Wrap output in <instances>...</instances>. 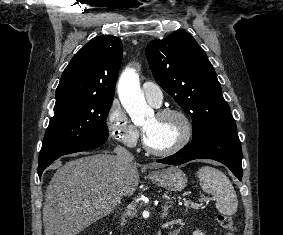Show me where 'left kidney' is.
Masks as SVG:
<instances>
[{
  "label": "left kidney",
  "instance_id": "5707ae66",
  "mask_svg": "<svg viewBox=\"0 0 283 235\" xmlns=\"http://www.w3.org/2000/svg\"><path fill=\"white\" fill-rule=\"evenodd\" d=\"M193 235H205L201 230H195L194 232H193Z\"/></svg>",
  "mask_w": 283,
  "mask_h": 235
}]
</instances>
